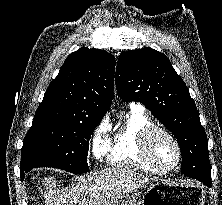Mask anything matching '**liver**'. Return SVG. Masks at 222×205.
I'll return each instance as SVG.
<instances>
[{
    "mask_svg": "<svg viewBox=\"0 0 222 205\" xmlns=\"http://www.w3.org/2000/svg\"><path fill=\"white\" fill-rule=\"evenodd\" d=\"M153 181L155 178L123 166L78 177L76 184L62 189L56 187L54 177H46L45 205H96L142 188Z\"/></svg>",
    "mask_w": 222,
    "mask_h": 205,
    "instance_id": "liver-1",
    "label": "liver"
}]
</instances>
